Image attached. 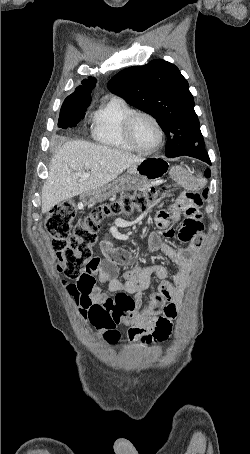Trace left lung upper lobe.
Instances as JSON below:
<instances>
[{
    "label": "left lung upper lobe",
    "instance_id": "obj_1",
    "mask_svg": "<svg viewBox=\"0 0 250 454\" xmlns=\"http://www.w3.org/2000/svg\"><path fill=\"white\" fill-rule=\"evenodd\" d=\"M108 89L158 121L167 135V157L205 148L188 82L175 65L156 59L126 68Z\"/></svg>",
    "mask_w": 250,
    "mask_h": 454
}]
</instances>
